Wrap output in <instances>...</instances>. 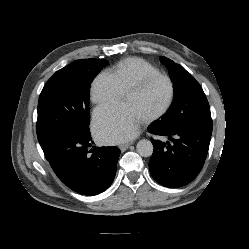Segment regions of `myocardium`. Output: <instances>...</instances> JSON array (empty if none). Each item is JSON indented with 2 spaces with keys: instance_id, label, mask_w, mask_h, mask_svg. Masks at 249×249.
I'll return each mask as SVG.
<instances>
[{
  "instance_id": "1",
  "label": "myocardium",
  "mask_w": 249,
  "mask_h": 249,
  "mask_svg": "<svg viewBox=\"0 0 249 249\" xmlns=\"http://www.w3.org/2000/svg\"><path fill=\"white\" fill-rule=\"evenodd\" d=\"M158 79H163L168 83L169 97L167 99L166 104L158 112L154 113L151 116L144 118L143 119L144 122H152V121L158 120L162 118L170 110V108L173 105V102L175 99V93H176L173 80L168 75L162 74V73L147 75L143 77L142 79H140L139 81H137L136 83L129 86L124 92V95L127 93L140 92L143 89H145L150 83Z\"/></svg>"
}]
</instances>
